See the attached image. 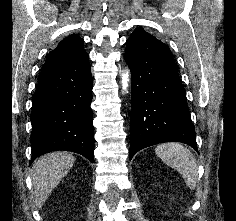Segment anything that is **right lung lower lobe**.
<instances>
[{"mask_svg": "<svg viewBox=\"0 0 236 221\" xmlns=\"http://www.w3.org/2000/svg\"><path fill=\"white\" fill-rule=\"evenodd\" d=\"M92 75L88 58L41 72L31 112V163L45 153L65 150L94 162Z\"/></svg>", "mask_w": 236, "mask_h": 221, "instance_id": "98d812e1", "label": "right lung lower lobe"}]
</instances>
